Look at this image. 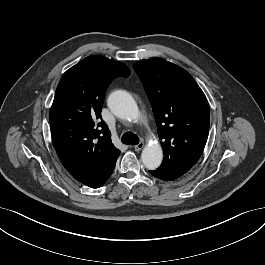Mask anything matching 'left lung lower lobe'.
<instances>
[{"mask_svg":"<svg viewBox=\"0 0 265 265\" xmlns=\"http://www.w3.org/2000/svg\"><path fill=\"white\" fill-rule=\"evenodd\" d=\"M151 175L161 179V180H165V181H170L167 178H165L164 176H162L160 173H158L156 170L155 171H149Z\"/></svg>","mask_w":265,"mask_h":265,"instance_id":"1","label":"left lung lower lobe"}]
</instances>
